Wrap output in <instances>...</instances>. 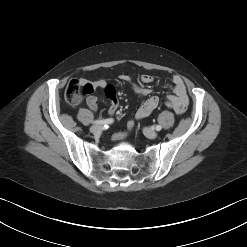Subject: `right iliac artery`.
Listing matches in <instances>:
<instances>
[{
    "mask_svg": "<svg viewBox=\"0 0 247 247\" xmlns=\"http://www.w3.org/2000/svg\"><path fill=\"white\" fill-rule=\"evenodd\" d=\"M113 122V119H105V120H95L93 124H110Z\"/></svg>",
    "mask_w": 247,
    "mask_h": 247,
    "instance_id": "right-iliac-artery-1",
    "label": "right iliac artery"
}]
</instances>
